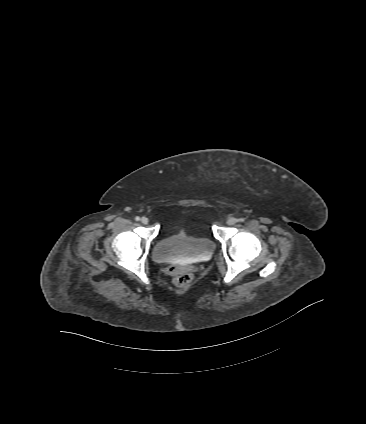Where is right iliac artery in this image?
I'll list each match as a JSON object with an SVG mask.
<instances>
[{
	"label": "right iliac artery",
	"instance_id": "82829eb1",
	"mask_svg": "<svg viewBox=\"0 0 366 424\" xmlns=\"http://www.w3.org/2000/svg\"><path fill=\"white\" fill-rule=\"evenodd\" d=\"M135 220L140 221V217L139 216L135 217Z\"/></svg>",
	"mask_w": 366,
	"mask_h": 424
}]
</instances>
